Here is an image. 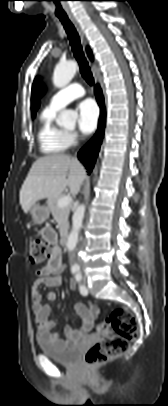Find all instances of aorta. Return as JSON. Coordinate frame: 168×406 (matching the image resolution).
I'll list each match as a JSON object with an SVG mask.
<instances>
[{"instance_id": "obj_1", "label": "aorta", "mask_w": 168, "mask_h": 406, "mask_svg": "<svg viewBox=\"0 0 168 406\" xmlns=\"http://www.w3.org/2000/svg\"><path fill=\"white\" fill-rule=\"evenodd\" d=\"M77 63L75 61H67L64 63H59L54 70L53 73V84L58 87V88H63L66 85L69 84V82L72 80L74 75L76 74L77 71ZM77 119V112L72 111V110H64L63 112L60 113L58 117V124L64 127H70L75 124V121ZM84 213H85V205L81 204L78 206L76 211L74 212L72 222V231L68 236L67 239V249L69 252L74 251L76 248V245L78 243V237H79V231L82 227V222L84 218ZM79 266L75 263L73 265V268H78Z\"/></svg>"}]
</instances>
